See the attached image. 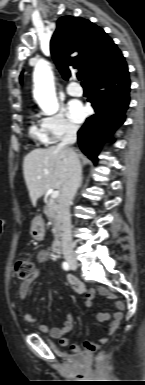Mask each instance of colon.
Segmentation results:
<instances>
[{"mask_svg":"<svg viewBox=\"0 0 145 385\" xmlns=\"http://www.w3.org/2000/svg\"><path fill=\"white\" fill-rule=\"evenodd\" d=\"M35 270L34 260L31 258H20L14 265V276L18 281L27 282L31 279ZM86 348L89 351H94L96 348L92 344H88Z\"/></svg>","mask_w":145,"mask_h":385,"instance_id":"5ec220e1","label":"colon"}]
</instances>
